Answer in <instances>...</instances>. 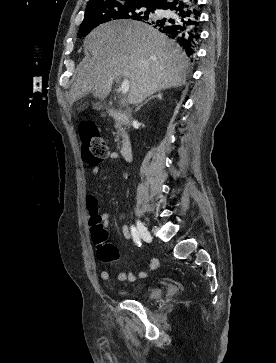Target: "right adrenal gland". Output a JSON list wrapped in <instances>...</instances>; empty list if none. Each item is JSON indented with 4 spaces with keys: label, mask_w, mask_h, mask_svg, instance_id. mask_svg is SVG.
Masks as SVG:
<instances>
[{
    "label": "right adrenal gland",
    "mask_w": 276,
    "mask_h": 363,
    "mask_svg": "<svg viewBox=\"0 0 276 363\" xmlns=\"http://www.w3.org/2000/svg\"><path fill=\"white\" fill-rule=\"evenodd\" d=\"M158 98V99H162V94L159 92L157 95H155V96H151L150 98H148L143 104H141L140 106H138L137 108H136V110L135 111H138V110H140V108L143 106V105H145L149 100H151V99H153V98Z\"/></svg>",
    "instance_id": "obj_1"
}]
</instances>
